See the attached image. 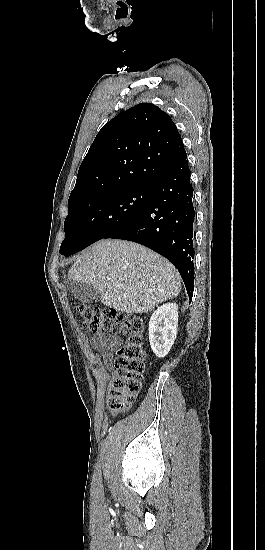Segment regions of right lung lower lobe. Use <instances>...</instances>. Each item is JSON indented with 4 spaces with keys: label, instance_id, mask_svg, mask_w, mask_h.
<instances>
[{
    "label": "right lung lower lobe",
    "instance_id": "98d812e1",
    "mask_svg": "<svg viewBox=\"0 0 265 550\" xmlns=\"http://www.w3.org/2000/svg\"><path fill=\"white\" fill-rule=\"evenodd\" d=\"M194 217L193 189L185 153L156 179L144 210L105 238L137 242L166 257L178 269L191 300Z\"/></svg>",
    "mask_w": 265,
    "mask_h": 550
}]
</instances>
